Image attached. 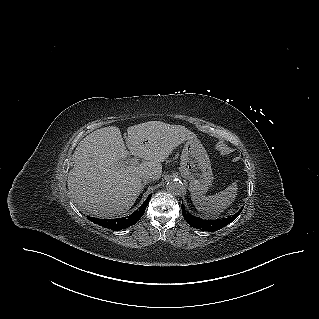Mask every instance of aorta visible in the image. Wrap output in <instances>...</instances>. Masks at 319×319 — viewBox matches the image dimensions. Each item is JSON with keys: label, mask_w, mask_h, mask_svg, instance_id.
Returning <instances> with one entry per match:
<instances>
[{"label": "aorta", "mask_w": 319, "mask_h": 319, "mask_svg": "<svg viewBox=\"0 0 319 319\" xmlns=\"http://www.w3.org/2000/svg\"><path fill=\"white\" fill-rule=\"evenodd\" d=\"M166 187L173 195H181L185 189L183 183L178 179L168 181Z\"/></svg>", "instance_id": "762f6f07"}]
</instances>
